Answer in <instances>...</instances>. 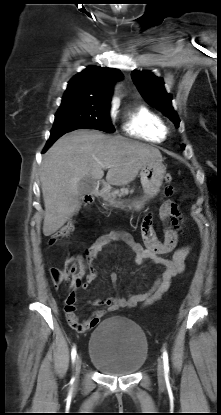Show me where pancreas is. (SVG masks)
I'll return each instance as SVG.
<instances>
[{"mask_svg": "<svg viewBox=\"0 0 221 415\" xmlns=\"http://www.w3.org/2000/svg\"><path fill=\"white\" fill-rule=\"evenodd\" d=\"M133 190H129L128 188H121L120 190H115L107 195L110 201L114 200L117 196L121 197L124 195H128L132 193Z\"/></svg>", "mask_w": 221, "mask_h": 415, "instance_id": "cf45deb5", "label": "pancreas"}]
</instances>
